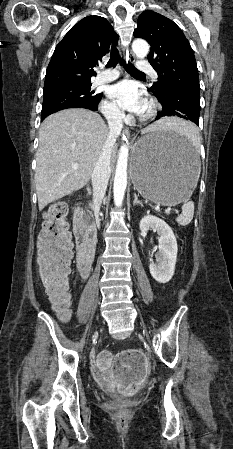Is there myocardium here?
<instances>
[{
  "mask_svg": "<svg viewBox=\"0 0 233 449\" xmlns=\"http://www.w3.org/2000/svg\"><path fill=\"white\" fill-rule=\"evenodd\" d=\"M158 108L156 101L152 98L146 101L145 108L140 116L142 121H146L154 116Z\"/></svg>",
  "mask_w": 233,
  "mask_h": 449,
  "instance_id": "f54148a6",
  "label": "myocardium"
}]
</instances>
